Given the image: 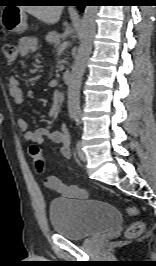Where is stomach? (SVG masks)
<instances>
[{"instance_id": "0dacf381", "label": "stomach", "mask_w": 156, "mask_h": 266, "mask_svg": "<svg viewBox=\"0 0 156 266\" xmlns=\"http://www.w3.org/2000/svg\"><path fill=\"white\" fill-rule=\"evenodd\" d=\"M3 25L12 32H23L27 29V19L19 8L7 10L3 14Z\"/></svg>"}]
</instances>
